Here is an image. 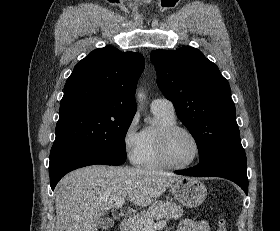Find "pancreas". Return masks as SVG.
<instances>
[{"instance_id": "obj_1", "label": "pancreas", "mask_w": 280, "mask_h": 231, "mask_svg": "<svg viewBox=\"0 0 280 231\" xmlns=\"http://www.w3.org/2000/svg\"><path fill=\"white\" fill-rule=\"evenodd\" d=\"M183 209L175 201H154L147 211H141L138 217H135L125 231H145L144 223L147 219H178L182 217Z\"/></svg>"}]
</instances>
